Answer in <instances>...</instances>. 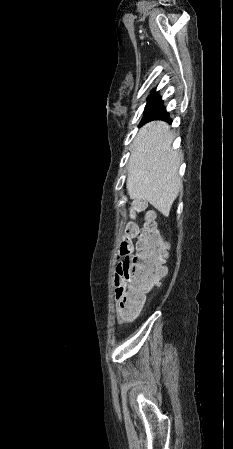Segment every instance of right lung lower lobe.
Wrapping results in <instances>:
<instances>
[{"instance_id": "98d812e1", "label": "right lung lower lobe", "mask_w": 233, "mask_h": 449, "mask_svg": "<svg viewBox=\"0 0 233 449\" xmlns=\"http://www.w3.org/2000/svg\"><path fill=\"white\" fill-rule=\"evenodd\" d=\"M152 120H163V121L171 122L169 114L166 111H163V112L155 115L154 117H152L150 120L146 121L145 123L152 121Z\"/></svg>"}]
</instances>
